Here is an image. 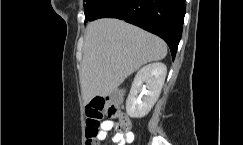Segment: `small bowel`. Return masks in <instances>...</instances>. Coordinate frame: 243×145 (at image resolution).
<instances>
[{
	"instance_id": "c3829d8e",
	"label": "small bowel",
	"mask_w": 243,
	"mask_h": 145,
	"mask_svg": "<svg viewBox=\"0 0 243 145\" xmlns=\"http://www.w3.org/2000/svg\"><path fill=\"white\" fill-rule=\"evenodd\" d=\"M119 118H126L128 121L129 119L127 116L120 112ZM118 118V122H119ZM115 125V122L112 120H105L102 122L101 130L97 135L98 140H104L107 137V132L110 131ZM134 133L130 130H127L125 133L117 132L112 135V141L117 143L118 145H126L127 143H132L134 141Z\"/></svg>"
}]
</instances>
